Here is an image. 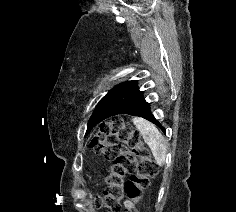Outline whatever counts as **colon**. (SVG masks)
<instances>
[{
	"label": "colon",
	"mask_w": 236,
	"mask_h": 212,
	"mask_svg": "<svg viewBox=\"0 0 236 212\" xmlns=\"http://www.w3.org/2000/svg\"><path fill=\"white\" fill-rule=\"evenodd\" d=\"M112 138V141L109 139ZM89 148L112 161L106 188L96 205L110 212H121L120 201L126 196L138 203L157 174V165L137 132L120 117L104 122L90 140ZM129 175L124 184V177ZM127 212H134L129 209Z\"/></svg>",
	"instance_id": "obj_1"
}]
</instances>
